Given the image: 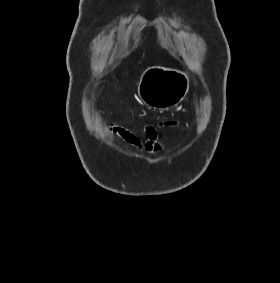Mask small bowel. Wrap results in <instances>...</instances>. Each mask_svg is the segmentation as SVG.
<instances>
[{"label": "small bowel", "mask_w": 280, "mask_h": 283, "mask_svg": "<svg viewBox=\"0 0 280 283\" xmlns=\"http://www.w3.org/2000/svg\"><path fill=\"white\" fill-rule=\"evenodd\" d=\"M179 125L177 120H168L159 123L158 125L148 126L146 128V139L142 140L129 128L120 124H110L107 128L108 132L112 135L118 136L126 143L131 145L137 151L157 154L161 151V145L158 141V130L161 127H175Z\"/></svg>", "instance_id": "obj_1"}]
</instances>
